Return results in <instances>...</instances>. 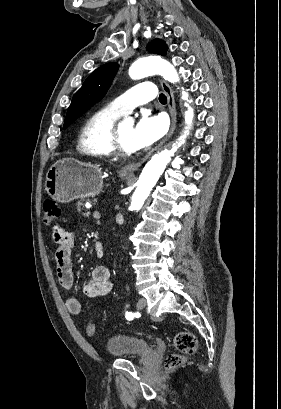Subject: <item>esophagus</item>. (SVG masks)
Segmentation results:
<instances>
[{"mask_svg":"<svg viewBox=\"0 0 281 409\" xmlns=\"http://www.w3.org/2000/svg\"><path fill=\"white\" fill-rule=\"evenodd\" d=\"M161 86L162 89L164 90V92L166 93L167 96V100H168V109H169V114H170V119H171V125H170V129L168 131V134L164 137V139L152 150H150V152H148L145 157H143V159L139 160L138 162H133L131 164L126 165L125 167L122 168V172L128 173V174H133L135 172V170H137L143 162H145V160L148 159V157H150V155L157 150L159 147H161L165 142H167V140L170 139V137H172L174 130L176 128V121H177V114H176V104H175V100H174V94L173 91L170 87V85H168V83H166L164 80H161Z\"/></svg>","mask_w":281,"mask_h":409,"instance_id":"esophagus-1","label":"esophagus"}]
</instances>
